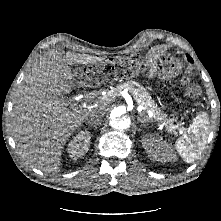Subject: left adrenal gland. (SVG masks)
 <instances>
[{"instance_id": "1", "label": "left adrenal gland", "mask_w": 221, "mask_h": 221, "mask_svg": "<svg viewBox=\"0 0 221 221\" xmlns=\"http://www.w3.org/2000/svg\"><path fill=\"white\" fill-rule=\"evenodd\" d=\"M142 115H140L137 119L139 122H141L142 124L146 123V122H150V119L149 118H141Z\"/></svg>"}]
</instances>
